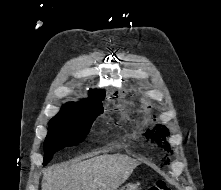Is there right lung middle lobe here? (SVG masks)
Wrapping results in <instances>:
<instances>
[{"label": "right lung middle lobe", "instance_id": "dd1d6c3e", "mask_svg": "<svg viewBox=\"0 0 221 190\" xmlns=\"http://www.w3.org/2000/svg\"><path fill=\"white\" fill-rule=\"evenodd\" d=\"M101 101L84 104L67 111H60L49 121L48 135L44 142V165L56 151L81 143L90 131L95 118L102 113Z\"/></svg>", "mask_w": 221, "mask_h": 190}]
</instances>
